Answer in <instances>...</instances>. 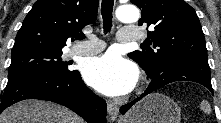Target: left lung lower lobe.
I'll list each match as a JSON object with an SVG mask.
<instances>
[{
    "label": "left lung lower lobe",
    "instance_id": "0a47b994",
    "mask_svg": "<svg viewBox=\"0 0 221 123\" xmlns=\"http://www.w3.org/2000/svg\"><path fill=\"white\" fill-rule=\"evenodd\" d=\"M148 77H150L152 80L146 91L137 99L123 105L120 108V112L122 114H125L144 96L174 81L185 80L197 82L213 92L209 65L195 61H183L167 65L156 74Z\"/></svg>",
    "mask_w": 221,
    "mask_h": 123
}]
</instances>
